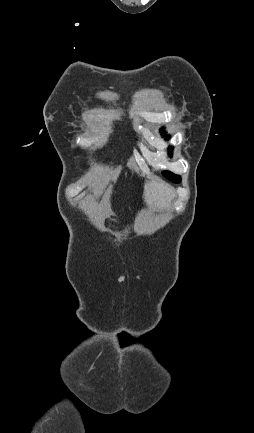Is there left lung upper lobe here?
Returning <instances> with one entry per match:
<instances>
[{
	"mask_svg": "<svg viewBox=\"0 0 254 433\" xmlns=\"http://www.w3.org/2000/svg\"><path fill=\"white\" fill-rule=\"evenodd\" d=\"M163 129H161V131H162ZM164 135H165V133H164ZM169 150H172V148L170 147V149ZM163 175L167 178V179H169V180H171V181H173V182H175V183H178V182H180V176H178V175H175V174H173V173H171V172H168V171H164L163 172Z\"/></svg>",
	"mask_w": 254,
	"mask_h": 433,
	"instance_id": "1",
	"label": "left lung upper lobe"
}]
</instances>
